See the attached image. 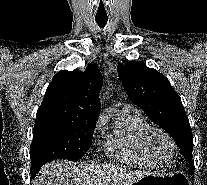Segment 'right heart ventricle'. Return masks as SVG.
<instances>
[{
  "mask_svg": "<svg viewBox=\"0 0 207 185\" xmlns=\"http://www.w3.org/2000/svg\"><path fill=\"white\" fill-rule=\"evenodd\" d=\"M150 124L138 113L125 108L116 118L113 131L104 147L112 158L127 164L156 165L158 161L147 151L143 137Z\"/></svg>",
  "mask_w": 207,
  "mask_h": 185,
  "instance_id": "1",
  "label": "right heart ventricle"
}]
</instances>
